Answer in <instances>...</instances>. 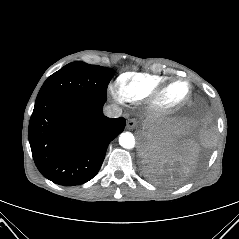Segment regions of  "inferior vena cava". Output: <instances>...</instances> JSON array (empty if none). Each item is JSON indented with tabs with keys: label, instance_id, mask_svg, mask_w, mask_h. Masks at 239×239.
Listing matches in <instances>:
<instances>
[{
	"label": "inferior vena cava",
	"instance_id": "602c4592",
	"mask_svg": "<svg viewBox=\"0 0 239 239\" xmlns=\"http://www.w3.org/2000/svg\"><path fill=\"white\" fill-rule=\"evenodd\" d=\"M104 114L109 118H118L122 115V108L115 104L107 105L104 108Z\"/></svg>",
	"mask_w": 239,
	"mask_h": 239
}]
</instances>
